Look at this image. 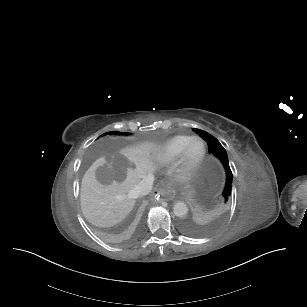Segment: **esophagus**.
Returning a JSON list of instances; mask_svg holds the SVG:
<instances>
[{"instance_id":"1","label":"esophagus","mask_w":307,"mask_h":307,"mask_svg":"<svg viewBox=\"0 0 307 307\" xmlns=\"http://www.w3.org/2000/svg\"><path fill=\"white\" fill-rule=\"evenodd\" d=\"M160 195L163 200L169 201L175 197V191L171 188L160 190Z\"/></svg>"}]
</instances>
